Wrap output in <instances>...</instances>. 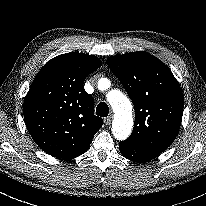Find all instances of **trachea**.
Segmentation results:
<instances>
[{"label": "trachea", "instance_id": "1", "mask_svg": "<svg viewBox=\"0 0 206 206\" xmlns=\"http://www.w3.org/2000/svg\"><path fill=\"white\" fill-rule=\"evenodd\" d=\"M96 114L100 117H106L109 114V107L105 102H101L97 105Z\"/></svg>", "mask_w": 206, "mask_h": 206}]
</instances>
